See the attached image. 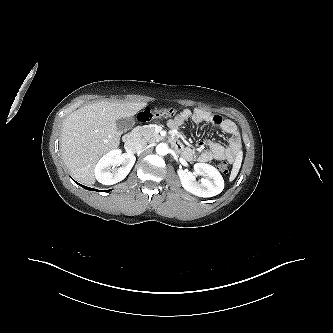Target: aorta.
Listing matches in <instances>:
<instances>
[{"mask_svg": "<svg viewBox=\"0 0 333 333\" xmlns=\"http://www.w3.org/2000/svg\"><path fill=\"white\" fill-rule=\"evenodd\" d=\"M169 152V147L166 143H160L156 146V153L158 155H167Z\"/></svg>", "mask_w": 333, "mask_h": 333, "instance_id": "762f6f07", "label": "aorta"}]
</instances>
